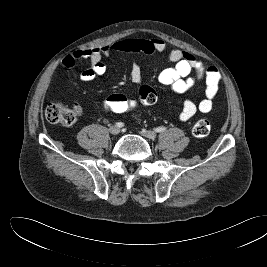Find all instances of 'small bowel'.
I'll use <instances>...</instances> for the list:
<instances>
[{"mask_svg": "<svg viewBox=\"0 0 267 267\" xmlns=\"http://www.w3.org/2000/svg\"><path fill=\"white\" fill-rule=\"evenodd\" d=\"M112 53L164 54L169 61L175 64L173 67L162 70L158 74L157 80L161 85L169 87L178 94L187 92L198 83H203L205 85L204 98L198 103L186 99L179 114L180 121H188L198 111L209 113L212 110L213 100L221 80L218 69L215 66H207L186 51L168 48L161 39L126 38L100 47L76 50L62 59L59 65L60 70L64 74H69L77 61L87 60L89 67L81 71L79 78L82 81L90 82L105 74L106 65L103 57ZM131 80L135 84H140L142 81V69L138 62L132 66ZM73 108L77 113L81 112V107L77 103L73 104Z\"/></svg>", "mask_w": 267, "mask_h": 267, "instance_id": "small-bowel-1", "label": "small bowel"}]
</instances>
